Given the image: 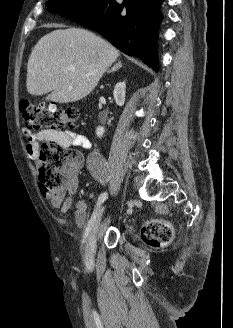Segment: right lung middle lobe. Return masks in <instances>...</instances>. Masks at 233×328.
Instances as JSON below:
<instances>
[{
    "instance_id": "right-lung-middle-lobe-1",
    "label": "right lung middle lobe",
    "mask_w": 233,
    "mask_h": 328,
    "mask_svg": "<svg viewBox=\"0 0 233 328\" xmlns=\"http://www.w3.org/2000/svg\"><path fill=\"white\" fill-rule=\"evenodd\" d=\"M100 0H48L46 6L52 13H60L63 16H68L73 12H80L98 3Z\"/></svg>"
}]
</instances>
